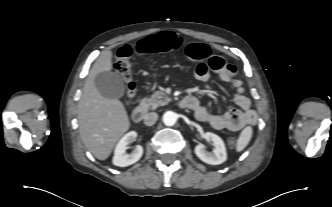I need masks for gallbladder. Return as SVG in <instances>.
<instances>
[{
	"label": "gallbladder",
	"mask_w": 332,
	"mask_h": 207,
	"mask_svg": "<svg viewBox=\"0 0 332 207\" xmlns=\"http://www.w3.org/2000/svg\"><path fill=\"white\" fill-rule=\"evenodd\" d=\"M94 81L99 93L105 98L119 99L124 95V83L114 72H101L95 76Z\"/></svg>",
	"instance_id": "1"
}]
</instances>
